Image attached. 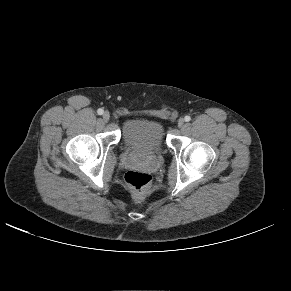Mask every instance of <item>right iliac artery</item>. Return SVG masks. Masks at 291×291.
<instances>
[{"mask_svg":"<svg viewBox=\"0 0 291 291\" xmlns=\"http://www.w3.org/2000/svg\"><path fill=\"white\" fill-rule=\"evenodd\" d=\"M103 112H104V111H103V109H101V108L97 110V113H98L99 115H102Z\"/></svg>","mask_w":291,"mask_h":291,"instance_id":"right-iliac-artery-1","label":"right iliac artery"}]
</instances>
